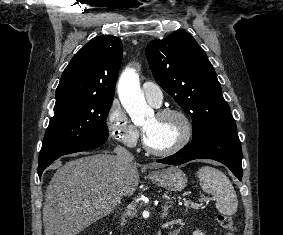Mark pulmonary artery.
<instances>
[{"label": "pulmonary artery", "instance_id": "1", "mask_svg": "<svg viewBox=\"0 0 283 235\" xmlns=\"http://www.w3.org/2000/svg\"><path fill=\"white\" fill-rule=\"evenodd\" d=\"M142 91L147 101L157 107L163 100V93L161 88L153 82H144L142 84Z\"/></svg>", "mask_w": 283, "mask_h": 235}]
</instances>
